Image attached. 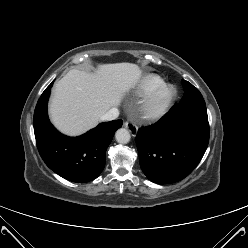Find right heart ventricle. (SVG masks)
Returning a JSON list of instances; mask_svg holds the SVG:
<instances>
[{
    "label": "right heart ventricle",
    "mask_w": 248,
    "mask_h": 248,
    "mask_svg": "<svg viewBox=\"0 0 248 248\" xmlns=\"http://www.w3.org/2000/svg\"><path fill=\"white\" fill-rule=\"evenodd\" d=\"M163 79L156 74L145 76L138 84L136 91L140 95H147L159 85L163 84Z\"/></svg>",
    "instance_id": "right-heart-ventricle-1"
}]
</instances>
